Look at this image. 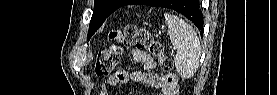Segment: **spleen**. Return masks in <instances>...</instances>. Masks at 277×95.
I'll use <instances>...</instances> for the list:
<instances>
[{
  "label": "spleen",
  "instance_id": "spleen-1",
  "mask_svg": "<svg viewBox=\"0 0 277 95\" xmlns=\"http://www.w3.org/2000/svg\"><path fill=\"white\" fill-rule=\"evenodd\" d=\"M165 23L168 27V34L176 49L174 57L175 67L183 78H191L199 67L201 46L199 38L192 26L184 20L165 13Z\"/></svg>",
  "mask_w": 277,
  "mask_h": 95
}]
</instances>
